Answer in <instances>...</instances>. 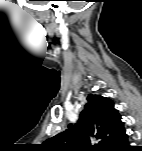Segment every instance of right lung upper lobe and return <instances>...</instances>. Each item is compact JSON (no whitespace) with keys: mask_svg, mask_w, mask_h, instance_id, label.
<instances>
[{"mask_svg":"<svg viewBox=\"0 0 142 151\" xmlns=\"http://www.w3.org/2000/svg\"><path fill=\"white\" fill-rule=\"evenodd\" d=\"M121 115L113 102L99 95L89 94L78 122L46 140L44 146L53 151H114L128 139ZM98 140L91 145L90 140Z\"/></svg>","mask_w":142,"mask_h":151,"instance_id":"cb5924a9","label":"right lung upper lobe"}]
</instances>
